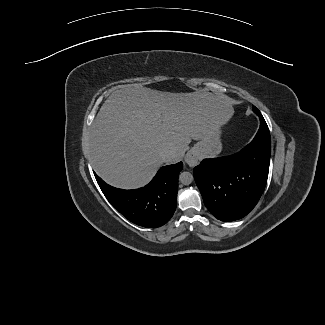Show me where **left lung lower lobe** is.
Here are the masks:
<instances>
[{"label":"left lung lower lobe","instance_id":"obj_1","mask_svg":"<svg viewBox=\"0 0 325 325\" xmlns=\"http://www.w3.org/2000/svg\"><path fill=\"white\" fill-rule=\"evenodd\" d=\"M260 128L240 152L203 159L193 170L205 206L221 221L246 216L259 201L268 178L271 138L261 115Z\"/></svg>","mask_w":325,"mask_h":325}]
</instances>
